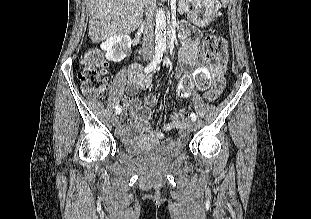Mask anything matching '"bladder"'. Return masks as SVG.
I'll use <instances>...</instances> for the list:
<instances>
[{
  "mask_svg": "<svg viewBox=\"0 0 311 219\" xmlns=\"http://www.w3.org/2000/svg\"><path fill=\"white\" fill-rule=\"evenodd\" d=\"M124 148L131 154L167 159L179 155L182 152L184 145L178 143L174 146H158L156 144L142 146L137 142L132 141L126 142Z\"/></svg>",
  "mask_w": 311,
  "mask_h": 219,
  "instance_id": "bladder-1",
  "label": "bladder"
}]
</instances>
